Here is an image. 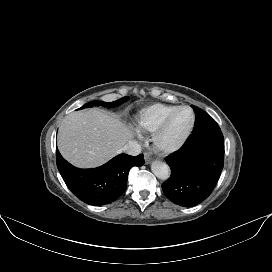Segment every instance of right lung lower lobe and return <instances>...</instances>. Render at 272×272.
<instances>
[{
    "instance_id": "obj_1",
    "label": "right lung lower lobe",
    "mask_w": 272,
    "mask_h": 272,
    "mask_svg": "<svg viewBox=\"0 0 272 272\" xmlns=\"http://www.w3.org/2000/svg\"><path fill=\"white\" fill-rule=\"evenodd\" d=\"M56 162L69 190L85 203L100 206L125 192L130 169L142 166L144 157L120 154L103 166L82 170L68 163L56 149Z\"/></svg>"
}]
</instances>
